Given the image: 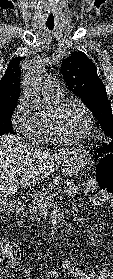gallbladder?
<instances>
[{
  "label": "gallbladder",
  "instance_id": "bac80fb5",
  "mask_svg": "<svg viewBox=\"0 0 113 279\" xmlns=\"http://www.w3.org/2000/svg\"><path fill=\"white\" fill-rule=\"evenodd\" d=\"M4 205L3 204H1V206H0V213L4 210Z\"/></svg>",
  "mask_w": 113,
  "mask_h": 279
}]
</instances>
